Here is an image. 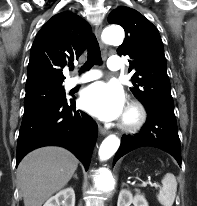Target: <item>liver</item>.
<instances>
[{
    "instance_id": "obj_1",
    "label": "liver",
    "mask_w": 197,
    "mask_h": 206,
    "mask_svg": "<svg viewBox=\"0 0 197 206\" xmlns=\"http://www.w3.org/2000/svg\"><path fill=\"white\" fill-rule=\"evenodd\" d=\"M78 167V159L61 147H43L26 155L17 169L24 206H42L62 189Z\"/></svg>"
}]
</instances>
